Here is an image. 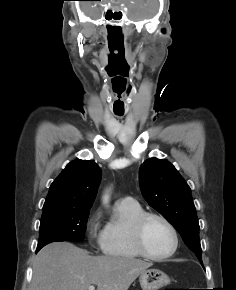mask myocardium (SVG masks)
I'll list each match as a JSON object with an SVG mask.
<instances>
[{
	"mask_svg": "<svg viewBox=\"0 0 236 290\" xmlns=\"http://www.w3.org/2000/svg\"><path fill=\"white\" fill-rule=\"evenodd\" d=\"M149 219H158L161 222H163L167 228L170 230L172 237H173V247L172 249L164 254V255H154L150 253L144 242V228ZM131 234L133 243L135 245V248L137 252L144 258H147L149 260L154 261H163L170 257H172L178 250L179 247V236L178 232L175 228V226L170 222L169 219H167L162 214L156 213V212H143L141 213L132 223L131 226Z\"/></svg>",
	"mask_w": 236,
	"mask_h": 290,
	"instance_id": "myocardium-1",
	"label": "myocardium"
}]
</instances>
